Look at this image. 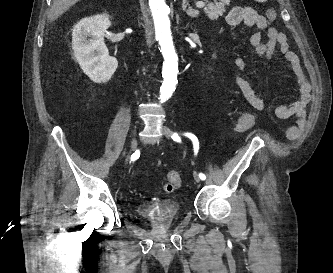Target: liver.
Masks as SVG:
<instances>
[{"mask_svg": "<svg viewBox=\"0 0 333 273\" xmlns=\"http://www.w3.org/2000/svg\"><path fill=\"white\" fill-rule=\"evenodd\" d=\"M79 0H53L51 7L50 21H53L65 13L72 5Z\"/></svg>", "mask_w": 333, "mask_h": 273, "instance_id": "liver-1", "label": "liver"}]
</instances>
